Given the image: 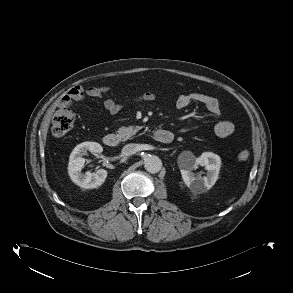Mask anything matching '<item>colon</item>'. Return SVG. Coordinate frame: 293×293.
Segmentation results:
<instances>
[{
  "label": "colon",
  "mask_w": 293,
  "mask_h": 293,
  "mask_svg": "<svg viewBox=\"0 0 293 293\" xmlns=\"http://www.w3.org/2000/svg\"><path fill=\"white\" fill-rule=\"evenodd\" d=\"M75 114L66 106H59L52 119V132L55 136L61 137L68 133L74 126ZM239 161H246L249 158V151L242 150L237 156Z\"/></svg>",
  "instance_id": "obj_1"
}]
</instances>
